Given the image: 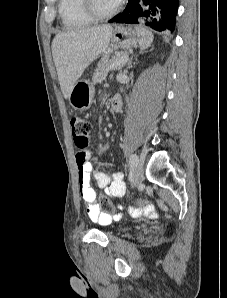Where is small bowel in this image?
<instances>
[{"mask_svg":"<svg viewBox=\"0 0 227 298\" xmlns=\"http://www.w3.org/2000/svg\"><path fill=\"white\" fill-rule=\"evenodd\" d=\"M75 158L78 169L79 189L84 200V205L88 216L93 221H110V215L102 212L99 204L96 202V194L92 188L91 177L94 176L98 187L103 189L109 196L120 198L125 193V184L123 182L122 174L113 173L112 175H109L106 172L96 170L91 160V154L89 151H78ZM144 211L146 213H151L153 209L152 207H144ZM130 212L137 214L140 212V209L131 208ZM120 217V214L116 215L117 219Z\"/></svg>","mask_w":227,"mask_h":298,"instance_id":"1","label":"small bowel"}]
</instances>
